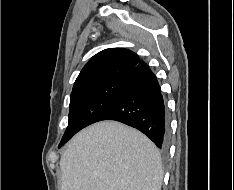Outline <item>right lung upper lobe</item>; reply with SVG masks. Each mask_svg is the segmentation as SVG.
I'll use <instances>...</instances> for the list:
<instances>
[{"label":"right lung upper lobe","mask_w":234,"mask_h":190,"mask_svg":"<svg viewBox=\"0 0 234 190\" xmlns=\"http://www.w3.org/2000/svg\"><path fill=\"white\" fill-rule=\"evenodd\" d=\"M140 63L139 57L123 48H109L94 55L78 75L72 93L125 78Z\"/></svg>","instance_id":"obj_1"}]
</instances>
